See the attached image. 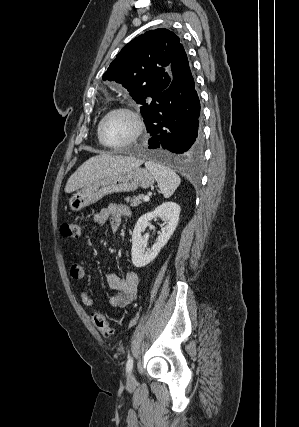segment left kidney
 Here are the masks:
<instances>
[{
  "mask_svg": "<svg viewBox=\"0 0 299 427\" xmlns=\"http://www.w3.org/2000/svg\"><path fill=\"white\" fill-rule=\"evenodd\" d=\"M180 206L174 202H164L152 212L142 215L133 230L132 234V263L135 267H144L153 261L160 250L167 244L173 235L180 215ZM160 218L164 222V227L151 249H144V238L142 232L152 219Z\"/></svg>",
  "mask_w": 299,
  "mask_h": 427,
  "instance_id": "1",
  "label": "left kidney"
}]
</instances>
